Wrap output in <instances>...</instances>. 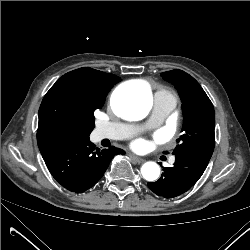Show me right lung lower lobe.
Instances as JSON below:
<instances>
[{"mask_svg": "<svg viewBox=\"0 0 250 250\" xmlns=\"http://www.w3.org/2000/svg\"><path fill=\"white\" fill-rule=\"evenodd\" d=\"M52 176L66 189L83 193L104 175L109 163L122 149H95L89 136H74L39 147Z\"/></svg>", "mask_w": 250, "mask_h": 250, "instance_id": "right-lung-lower-lobe-1", "label": "right lung lower lobe"}]
</instances>
